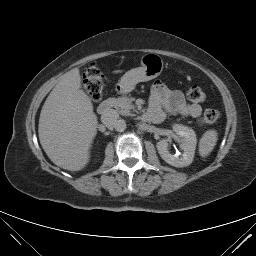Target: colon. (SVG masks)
<instances>
[{
    "mask_svg": "<svg viewBox=\"0 0 256 256\" xmlns=\"http://www.w3.org/2000/svg\"><path fill=\"white\" fill-rule=\"evenodd\" d=\"M103 73L94 64L90 65L83 75V88L92 100H99L103 93ZM189 100L195 103L204 102L206 96L197 86L189 88L186 93ZM220 118V112L215 109H207L201 118L200 124L215 123Z\"/></svg>",
    "mask_w": 256,
    "mask_h": 256,
    "instance_id": "5ec220e1",
    "label": "colon"
}]
</instances>
